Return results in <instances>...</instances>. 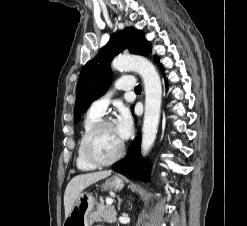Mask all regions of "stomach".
I'll return each mask as SVG.
<instances>
[{
    "label": "stomach",
    "mask_w": 247,
    "mask_h": 226,
    "mask_svg": "<svg viewBox=\"0 0 247 226\" xmlns=\"http://www.w3.org/2000/svg\"><path fill=\"white\" fill-rule=\"evenodd\" d=\"M123 186V180L117 176H113L105 181L102 188L117 191L122 189ZM94 205L95 199L91 194L87 192L80 193L70 214L66 217L63 226H89Z\"/></svg>",
    "instance_id": "1"
}]
</instances>
